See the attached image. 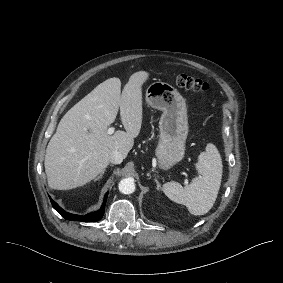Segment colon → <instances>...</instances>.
<instances>
[{"instance_id":"1","label":"colon","mask_w":283,"mask_h":283,"mask_svg":"<svg viewBox=\"0 0 283 283\" xmlns=\"http://www.w3.org/2000/svg\"><path fill=\"white\" fill-rule=\"evenodd\" d=\"M175 82L178 87L194 92H203L208 89L206 82L189 74H179Z\"/></svg>"}]
</instances>
